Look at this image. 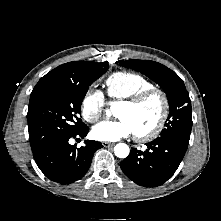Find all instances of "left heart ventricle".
<instances>
[{"instance_id":"1","label":"left heart ventricle","mask_w":221,"mask_h":221,"mask_svg":"<svg viewBox=\"0 0 221 221\" xmlns=\"http://www.w3.org/2000/svg\"><path fill=\"white\" fill-rule=\"evenodd\" d=\"M161 114V101L152 97L143 105L132 108L127 105H118L115 115L130 123L134 133H143L152 129Z\"/></svg>"}]
</instances>
